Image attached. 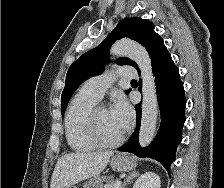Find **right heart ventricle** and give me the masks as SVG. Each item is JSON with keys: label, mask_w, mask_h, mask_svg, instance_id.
<instances>
[{"label": "right heart ventricle", "mask_w": 224, "mask_h": 188, "mask_svg": "<svg viewBox=\"0 0 224 188\" xmlns=\"http://www.w3.org/2000/svg\"><path fill=\"white\" fill-rule=\"evenodd\" d=\"M98 100L82 89L72 99L65 115V134L69 147L76 152H86L96 145L89 138L87 116Z\"/></svg>", "instance_id": "1"}]
</instances>
